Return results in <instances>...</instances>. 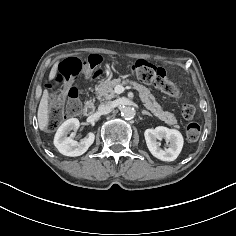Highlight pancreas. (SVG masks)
<instances>
[{
	"label": "pancreas",
	"instance_id": "obj_1",
	"mask_svg": "<svg viewBox=\"0 0 236 236\" xmlns=\"http://www.w3.org/2000/svg\"><path fill=\"white\" fill-rule=\"evenodd\" d=\"M117 85H131L134 89L139 92V96L144 103V106L153 113L154 116L164 121L166 124L170 126H174L175 128H179L177 125V119L170 112L163 111L161 106L156 102L155 97L151 94L150 90L145 86L133 82L130 80H121L113 79L106 80L96 89V96L98 100H109L116 97V93L114 88Z\"/></svg>",
	"mask_w": 236,
	"mask_h": 236
}]
</instances>
